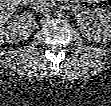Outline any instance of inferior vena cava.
Segmentation results:
<instances>
[{"label":"inferior vena cava","mask_w":111,"mask_h":106,"mask_svg":"<svg viewBox=\"0 0 111 106\" xmlns=\"http://www.w3.org/2000/svg\"><path fill=\"white\" fill-rule=\"evenodd\" d=\"M47 1L45 0H35L33 2V9L36 11V12H48V8H47Z\"/></svg>","instance_id":"602c4592"}]
</instances>
